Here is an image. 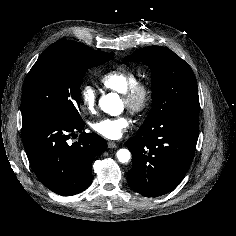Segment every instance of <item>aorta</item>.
<instances>
[{
    "label": "aorta",
    "instance_id": "762f6f07",
    "mask_svg": "<svg viewBox=\"0 0 236 236\" xmlns=\"http://www.w3.org/2000/svg\"><path fill=\"white\" fill-rule=\"evenodd\" d=\"M99 106L105 113L111 116H117L123 111V102L116 93H109L103 96L99 101ZM131 157L128 149H119L117 158L121 163H127Z\"/></svg>",
    "mask_w": 236,
    "mask_h": 236
}]
</instances>
